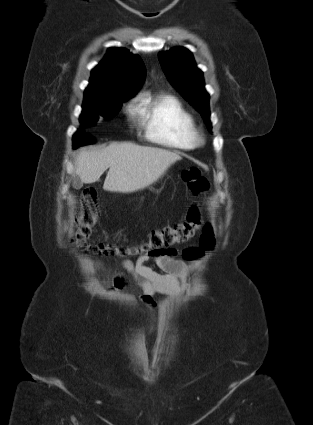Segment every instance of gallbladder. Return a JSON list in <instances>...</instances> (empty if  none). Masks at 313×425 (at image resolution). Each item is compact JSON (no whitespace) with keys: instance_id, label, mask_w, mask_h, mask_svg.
I'll return each instance as SVG.
<instances>
[{"instance_id":"obj_1","label":"gallbladder","mask_w":313,"mask_h":425,"mask_svg":"<svg viewBox=\"0 0 313 425\" xmlns=\"http://www.w3.org/2000/svg\"><path fill=\"white\" fill-rule=\"evenodd\" d=\"M72 186H73L75 189H80V188H82V186H83V182H82V180L80 179V177H79L78 175H74V176L72 177Z\"/></svg>"}]
</instances>
